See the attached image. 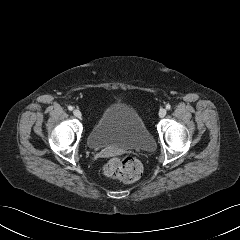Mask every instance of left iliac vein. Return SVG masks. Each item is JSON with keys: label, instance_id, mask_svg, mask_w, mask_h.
Returning a JSON list of instances; mask_svg holds the SVG:
<instances>
[{"label": "left iliac vein", "instance_id": "1", "mask_svg": "<svg viewBox=\"0 0 240 240\" xmlns=\"http://www.w3.org/2000/svg\"><path fill=\"white\" fill-rule=\"evenodd\" d=\"M166 115V110L165 109H160L159 110V116L162 118Z\"/></svg>", "mask_w": 240, "mask_h": 240}]
</instances>
